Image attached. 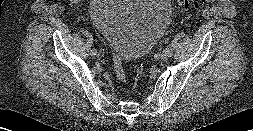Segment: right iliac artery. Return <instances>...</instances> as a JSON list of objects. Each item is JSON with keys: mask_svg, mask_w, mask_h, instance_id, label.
<instances>
[{"mask_svg": "<svg viewBox=\"0 0 253 131\" xmlns=\"http://www.w3.org/2000/svg\"><path fill=\"white\" fill-rule=\"evenodd\" d=\"M90 50H91L92 52H95V51L97 50V46H96L95 44H92V45L90 46Z\"/></svg>", "mask_w": 253, "mask_h": 131, "instance_id": "82829eb1", "label": "right iliac artery"}]
</instances>
